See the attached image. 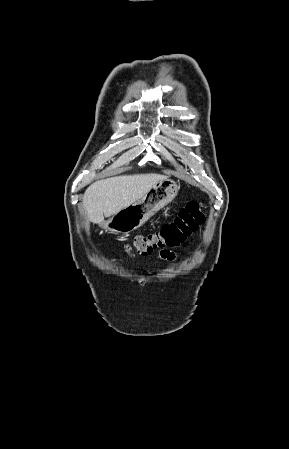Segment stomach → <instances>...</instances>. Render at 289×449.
<instances>
[{
  "mask_svg": "<svg viewBox=\"0 0 289 449\" xmlns=\"http://www.w3.org/2000/svg\"><path fill=\"white\" fill-rule=\"evenodd\" d=\"M180 187L174 180H165L153 186L140 200L123 208L102 227L115 233H129L141 227L155 213L169 204L177 196Z\"/></svg>",
  "mask_w": 289,
  "mask_h": 449,
  "instance_id": "0dacf381",
  "label": "stomach"
}]
</instances>
